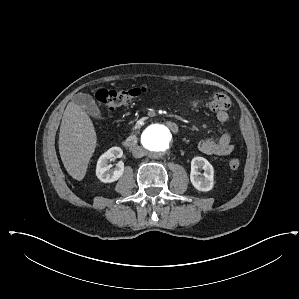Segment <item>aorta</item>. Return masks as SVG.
Wrapping results in <instances>:
<instances>
[{
	"label": "aorta",
	"instance_id": "obj_1",
	"mask_svg": "<svg viewBox=\"0 0 299 299\" xmlns=\"http://www.w3.org/2000/svg\"><path fill=\"white\" fill-rule=\"evenodd\" d=\"M172 143V134L163 125L155 124L149 126L142 135V144L150 154H161L166 152Z\"/></svg>",
	"mask_w": 299,
	"mask_h": 299
}]
</instances>
